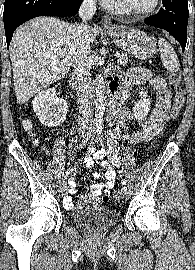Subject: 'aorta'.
Masks as SVG:
<instances>
[{
  "instance_id": "762f6f07",
  "label": "aorta",
  "mask_w": 195,
  "mask_h": 270,
  "mask_svg": "<svg viewBox=\"0 0 195 270\" xmlns=\"http://www.w3.org/2000/svg\"><path fill=\"white\" fill-rule=\"evenodd\" d=\"M106 87L104 78L99 74L96 79V97H95V105H96V116L101 118L104 114L105 106H106Z\"/></svg>"
}]
</instances>
